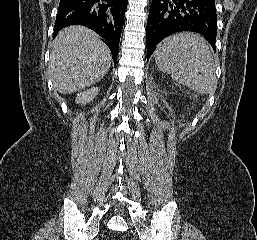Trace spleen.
<instances>
[{"mask_svg":"<svg viewBox=\"0 0 257 240\" xmlns=\"http://www.w3.org/2000/svg\"><path fill=\"white\" fill-rule=\"evenodd\" d=\"M158 69L200 94L216 89V65L206 41L195 33H177L165 38L154 52Z\"/></svg>","mask_w":257,"mask_h":240,"instance_id":"3e777b00","label":"spleen"}]
</instances>
